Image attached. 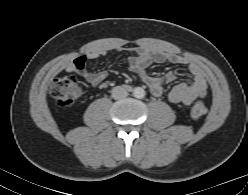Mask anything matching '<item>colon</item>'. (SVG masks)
<instances>
[{
	"label": "colon",
	"mask_w": 248,
	"mask_h": 195,
	"mask_svg": "<svg viewBox=\"0 0 248 195\" xmlns=\"http://www.w3.org/2000/svg\"><path fill=\"white\" fill-rule=\"evenodd\" d=\"M81 94L79 82L73 75H66L53 80L50 95L61 107L74 105ZM206 112V106L200 99H196L190 106V115L194 119L201 118Z\"/></svg>",
	"instance_id": "1"
}]
</instances>
